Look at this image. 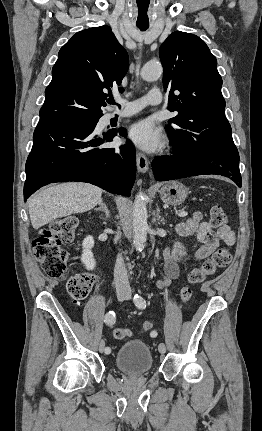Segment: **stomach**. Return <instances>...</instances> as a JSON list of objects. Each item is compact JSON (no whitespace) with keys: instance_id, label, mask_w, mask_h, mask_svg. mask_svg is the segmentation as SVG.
<instances>
[{"instance_id":"0dacf381","label":"stomach","mask_w":262,"mask_h":431,"mask_svg":"<svg viewBox=\"0 0 262 431\" xmlns=\"http://www.w3.org/2000/svg\"><path fill=\"white\" fill-rule=\"evenodd\" d=\"M159 193L163 202L176 206L184 202L188 189L178 181H171L162 186Z\"/></svg>"}]
</instances>
